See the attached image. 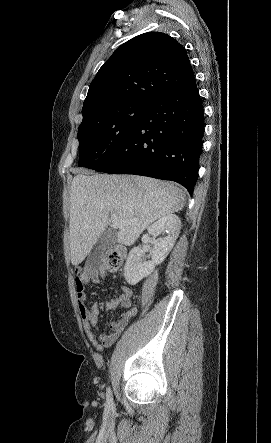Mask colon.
Wrapping results in <instances>:
<instances>
[{
  "label": "colon",
  "mask_w": 271,
  "mask_h": 443,
  "mask_svg": "<svg viewBox=\"0 0 271 443\" xmlns=\"http://www.w3.org/2000/svg\"><path fill=\"white\" fill-rule=\"evenodd\" d=\"M127 249L123 245H114L104 249L103 256L106 268L109 271H117L120 269L125 257Z\"/></svg>",
  "instance_id": "1"
}]
</instances>
